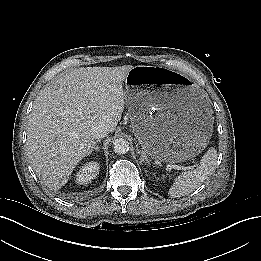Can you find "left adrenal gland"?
Segmentation results:
<instances>
[{
    "mask_svg": "<svg viewBox=\"0 0 261 261\" xmlns=\"http://www.w3.org/2000/svg\"><path fill=\"white\" fill-rule=\"evenodd\" d=\"M137 153L140 154V162H146L149 163L147 156L144 155L143 152H141L138 148H137Z\"/></svg>",
    "mask_w": 261,
    "mask_h": 261,
    "instance_id": "a2214340",
    "label": "left adrenal gland"
}]
</instances>
